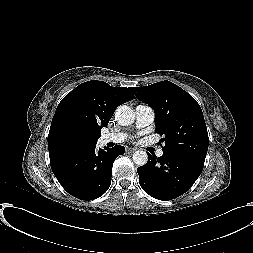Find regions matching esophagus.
<instances>
[{
    "mask_svg": "<svg viewBox=\"0 0 253 253\" xmlns=\"http://www.w3.org/2000/svg\"><path fill=\"white\" fill-rule=\"evenodd\" d=\"M137 150V148H133V147H128L127 148V151L128 152H134V151H136Z\"/></svg>",
    "mask_w": 253,
    "mask_h": 253,
    "instance_id": "34e87169",
    "label": "esophagus"
}]
</instances>
